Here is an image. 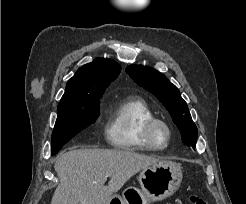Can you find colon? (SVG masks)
<instances>
[{
    "instance_id": "obj_1",
    "label": "colon",
    "mask_w": 246,
    "mask_h": 204,
    "mask_svg": "<svg viewBox=\"0 0 246 204\" xmlns=\"http://www.w3.org/2000/svg\"><path fill=\"white\" fill-rule=\"evenodd\" d=\"M190 201L193 203V204H209L207 201H205L204 199L198 197V196H195V195H191L190 196Z\"/></svg>"
}]
</instances>
